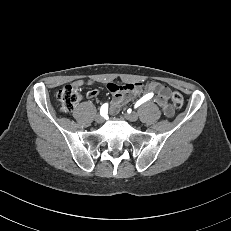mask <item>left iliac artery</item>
<instances>
[{"instance_id":"44dca946","label":"left iliac artery","mask_w":231,"mask_h":231,"mask_svg":"<svg viewBox=\"0 0 231 231\" xmlns=\"http://www.w3.org/2000/svg\"><path fill=\"white\" fill-rule=\"evenodd\" d=\"M153 93H148L145 96H143L139 101L136 102L135 107L140 106L142 103L148 101L149 99H151L153 97Z\"/></svg>"}]
</instances>
